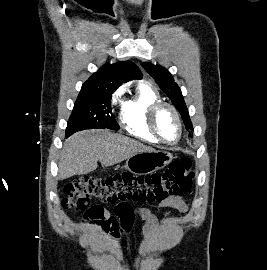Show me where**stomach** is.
I'll use <instances>...</instances> for the list:
<instances>
[{
	"mask_svg": "<svg viewBox=\"0 0 267 270\" xmlns=\"http://www.w3.org/2000/svg\"><path fill=\"white\" fill-rule=\"evenodd\" d=\"M172 159L173 156L168 151H144L128 158L124 168L130 173L145 175L165 167Z\"/></svg>",
	"mask_w": 267,
	"mask_h": 270,
	"instance_id": "0dacf381",
	"label": "stomach"
}]
</instances>
